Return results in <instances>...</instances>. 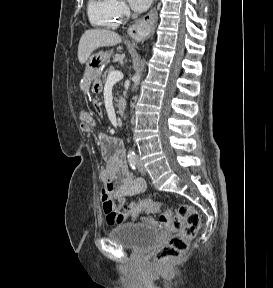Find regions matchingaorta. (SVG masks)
I'll list each match as a JSON object with an SVG mask.
<instances>
[{
    "mask_svg": "<svg viewBox=\"0 0 273 288\" xmlns=\"http://www.w3.org/2000/svg\"><path fill=\"white\" fill-rule=\"evenodd\" d=\"M144 65H145V62L144 60L141 61V65H140V68L138 69V71L135 73V75L133 76V87H132V90H134L136 88V86L138 85L139 81H140V78H141V73L143 71V68H144Z\"/></svg>",
    "mask_w": 273,
    "mask_h": 288,
    "instance_id": "aorta-1",
    "label": "aorta"
}]
</instances>
